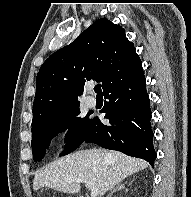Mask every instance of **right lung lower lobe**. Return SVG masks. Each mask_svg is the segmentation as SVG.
<instances>
[{
    "label": "right lung lower lobe",
    "mask_w": 191,
    "mask_h": 197,
    "mask_svg": "<svg viewBox=\"0 0 191 197\" xmlns=\"http://www.w3.org/2000/svg\"><path fill=\"white\" fill-rule=\"evenodd\" d=\"M104 97L109 101L100 112L106 113L110 124L104 125L94 118L84 141L142 158L153 166L156 152L142 65L110 83L104 89Z\"/></svg>",
    "instance_id": "obj_1"
}]
</instances>
